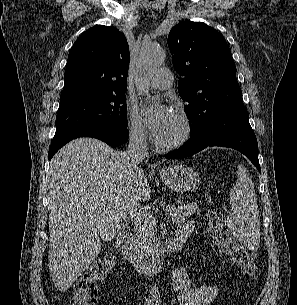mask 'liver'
I'll return each instance as SVG.
<instances>
[{
	"label": "liver",
	"instance_id": "1",
	"mask_svg": "<svg viewBox=\"0 0 297 305\" xmlns=\"http://www.w3.org/2000/svg\"><path fill=\"white\" fill-rule=\"evenodd\" d=\"M48 188V267L65 292L98 256L100 239L111 240L151 190L140 167L94 138L75 139L54 155Z\"/></svg>",
	"mask_w": 297,
	"mask_h": 305
}]
</instances>
